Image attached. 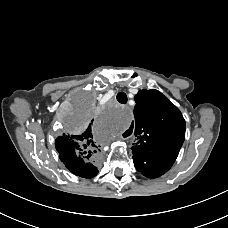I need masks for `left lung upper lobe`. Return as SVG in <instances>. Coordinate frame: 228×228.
<instances>
[{"label":"left lung upper lobe","mask_w":228,"mask_h":228,"mask_svg":"<svg viewBox=\"0 0 228 228\" xmlns=\"http://www.w3.org/2000/svg\"><path fill=\"white\" fill-rule=\"evenodd\" d=\"M135 101V121L128 130H134L138 140L132 153L176 159L185 139V120L180 110L154 89L140 90Z\"/></svg>","instance_id":"obj_1"}]
</instances>
